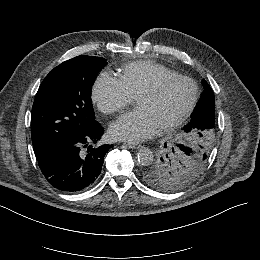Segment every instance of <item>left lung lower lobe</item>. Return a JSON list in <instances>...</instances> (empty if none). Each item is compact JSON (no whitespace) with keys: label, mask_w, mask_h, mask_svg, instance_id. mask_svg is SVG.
Segmentation results:
<instances>
[{"label":"left lung lower lobe","mask_w":260,"mask_h":260,"mask_svg":"<svg viewBox=\"0 0 260 260\" xmlns=\"http://www.w3.org/2000/svg\"><path fill=\"white\" fill-rule=\"evenodd\" d=\"M216 127L215 124V101L200 99L198 106L196 107L191 123L190 129L206 131Z\"/></svg>","instance_id":"left-lung-lower-lobe-1"}]
</instances>
